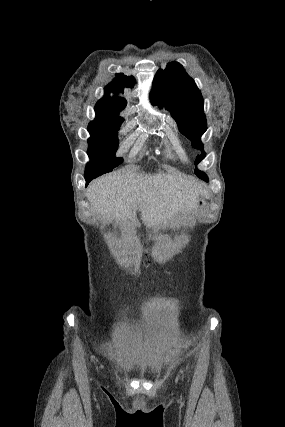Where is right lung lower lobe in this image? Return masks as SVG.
I'll use <instances>...</instances> for the list:
<instances>
[{"label": "right lung lower lobe", "instance_id": "right-lung-lower-lobe-1", "mask_svg": "<svg viewBox=\"0 0 285 427\" xmlns=\"http://www.w3.org/2000/svg\"><path fill=\"white\" fill-rule=\"evenodd\" d=\"M100 176L99 174L85 175L86 185L93 179Z\"/></svg>", "mask_w": 285, "mask_h": 427}]
</instances>
